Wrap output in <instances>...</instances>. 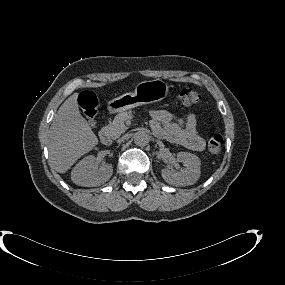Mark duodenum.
Wrapping results in <instances>:
<instances>
[{
  "label": "duodenum",
  "instance_id": "410a0bca",
  "mask_svg": "<svg viewBox=\"0 0 285 285\" xmlns=\"http://www.w3.org/2000/svg\"><path fill=\"white\" fill-rule=\"evenodd\" d=\"M99 140L101 141V143L108 145L111 142V138H110V134L108 132V130L106 129H101L100 133H99Z\"/></svg>",
  "mask_w": 285,
  "mask_h": 285
}]
</instances>
